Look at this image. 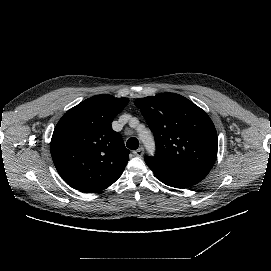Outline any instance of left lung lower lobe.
<instances>
[{
	"label": "left lung lower lobe",
	"mask_w": 271,
	"mask_h": 271,
	"mask_svg": "<svg viewBox=\"0 0 271 271\" xmlns=\"http://www.w3.org/2000/svg\"><path fill=\"white\" fill-rule=\"evenodd\" d=\"M146 164L162 183L175 188H189L203 180L210 169L164 161L157 157H146Z\"/></svg>",
	"instance_id": "1"
}]
</instances>
